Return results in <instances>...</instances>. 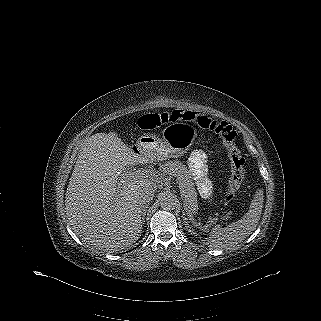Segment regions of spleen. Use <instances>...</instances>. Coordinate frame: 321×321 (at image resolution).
<instances>
[{"label":"spleen","mask_w":321,"mask_h":321,"mask_svg":"<svg viewBox=\"0 0 321 321\" xmlns=\"http://www.w3.org/2000/svg\"><path fill=\"white\" fill-rule=\"evenodd\" d=\"M263 191H258L251 202L249 211L238 221L227 227L216 225L208 237L207 243L212 248H229L249 236L260 220L264 201Z\"/></svg>","instance_id":"3e777b00"}]
</instances>
